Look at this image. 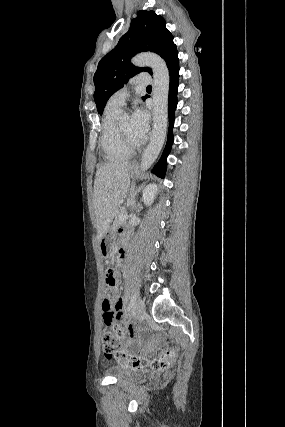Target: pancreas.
<instances>
[{
    "instance_id": "pancreas-1",
    "label": "pancreas",
    "mask_w": 285,
    "mask_h": 427,
    "mask_svg": "<svg viewBox=\"0 0 285 427\" xmlns=\"http://www.w3.org/2000/svg\"><path fill=\"white\" fill-rule=\"evenodd\" d=\"M126 213V210L124 208H121L117 211V215L114 221V226L117 227L118 225H120L122 223V220L120 219L121 216Z\"/></svg>"
}]
</instances>
